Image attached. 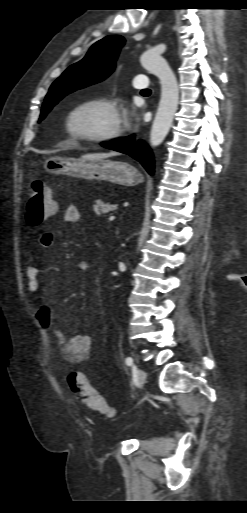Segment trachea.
<instances>
[{
	"label": "trachea",
	"mask_w": 247,
	"mask_h": 513,
	"mask_svg": "<svg viewBox=\"0 0 247 513\" xmlns=\"http://www.w3.org/2000/svg\"><path fill=\"white\" fill-rule=\"evenodd\" d=\"M142 93H150L151 90L150 89H144L141 91ZM244 280L246 281L247 280V277H244Z\"/></svg>",
	"instance_id": "trachea-1"
}]
</instances>
